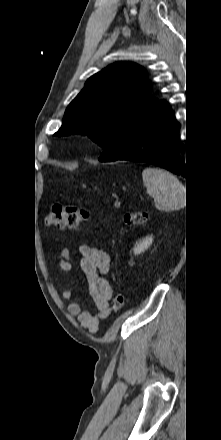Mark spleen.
Masks as SVG:
<instances>
[{
	"mask_svg": "<svg viewBox=\"0 0 221 440\" xmlns=\"http://www.w3.org/2000/svg\"><path fill=\"white\" fill-rule=\"evenodd\" d=\"M146 192L154 199L160 211H173L185 204V186L172 173L159 168H146L142 172Z\"/></svg>",
	"mask_w": 221,
	"mask_h": 440,
	"instance_id": "1",
	"label": "spleen"
}]
</instances>
